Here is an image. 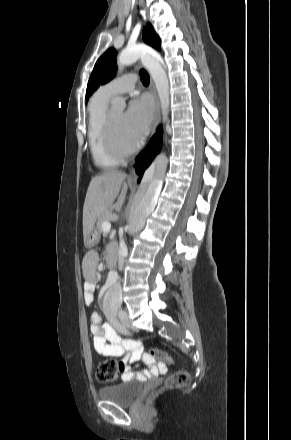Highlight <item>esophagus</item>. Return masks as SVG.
I'll use <instances>...</instances> for the list:
<instances>
[{"mask_svg": "<svg viewBox=\"0 0 291 440\" xmlns=\"http://www.w3.org/2000/svg\"><path fill=\"white\" fill-rule=\"evenodd\" d=\"M150 89H151V93L153 95L154 103H155L154 119H153V133H154L156 126H157L159 119H160V105H159L158 95H157V91H156L152 77H150ZM131 179L133 182H136V180H137V175H136L135 169H133V171L131 173Z\"/></svg>", "mask_w": 291, "mask_h": 440, "instance_id": "34e87169", "label": "esophagus"}]
</instances>
